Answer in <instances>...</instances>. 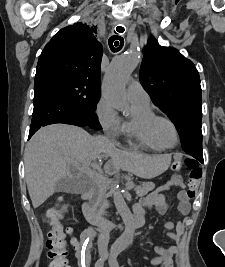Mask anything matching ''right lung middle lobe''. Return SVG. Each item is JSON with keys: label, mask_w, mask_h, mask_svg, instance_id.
<instances>
[{"label": "right lung middle lobe", "mask_w": 225, "mask_h": 267, "mask_svg": "<svg viewBox=\"0 0 225 267\" xmlns=\"http://www.w3.org/2000/svg\"><path fill=\"white\" fill-rule=\"evenodd\" d=\"M42 80L59 90L69 104L84 117L90 128L102 129L95 112L100 99V86L63 75H49Z\"/></svg>", "instance_id": "dd1d6c3e"}]
</instances>
